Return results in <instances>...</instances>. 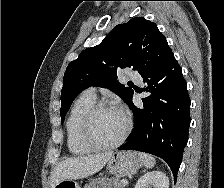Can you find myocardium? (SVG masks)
I'll return each instance as SVG.
<instances>
[{"label":"myocardium","instance_id":"myocardium-1","mask_svg":"<svg viewBox=\"0 0 224 188\" xmlns=\"http://www.w3.org/2000/svg\"><path fill=\"white\" fill-rule=\"evenodd\" d=\"M107 110H117L120 111L118 108L111 104L107 103H98L95 104L84 116L82 123H81V128H80V134H81V139L82 141L89 146L92 149L96 150H106V149H113L118 146H120L126 137L128 136L130 129H131V121L130 119L125 116V127L124 130L122 131L121 135L113 142L111 143H101L95 139L93 136L92 132V127L95 118L97 115L103 111Z\"/></svg>","mask_w":224,"mask_h":188}]
</instances>
